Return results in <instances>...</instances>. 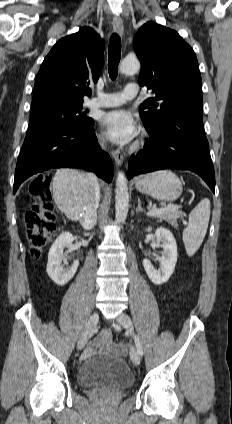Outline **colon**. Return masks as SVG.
<instances>
[{"instance_id":"obj_1","label":"colon","mask_w":232,"mask_h":424,"mask_svg":"<svg viewBox=\"0 0 232 424\" xmlns=\"http://www.w3.org/2000/svg\"><path fill=\"white\" fill-rule=\"evenodd\" d=\"M29 191L34 204L26 211L24 220L30 256L39 259L55 231L53 205L49 189L43 179L33 180L29 185ZM116 344L124 353L129 349L122 338H119Z\"/></svg>"}]
</instances>
